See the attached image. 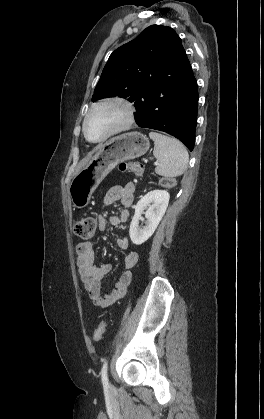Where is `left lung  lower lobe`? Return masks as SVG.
<instances>
[{"mask_svg": "<svg viewBox=\"0 0 264 419\" xmlns=\"http://www.w3.org/2000/svg\"><path fill=\"white\" fill-rule=\"evenodd\" d=\"M197 102V82L182 47L170 76L153 83L147 99L136 109V123L142 128L164 131L178 138L192 151Z\"/></svg>", "mask_w": 264, "mask_h": 419, "instance_id": "left-lung-lower-lobe-1", "label": "left lung lower lobe"}]
</instances>
